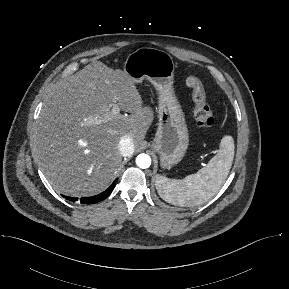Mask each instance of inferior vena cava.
<instances>
[{
  "label": "inferior vena cava",
  "mask_w": 289,
  "mask_h": 289,
  "mask_svg": "<svg viewBox=\"0 0 289 289\" xmlns=\"http://www.w3.org/2000/svg\"><path fill=\"white\" fill-rule=\"evenodd\" d=\"M119 151L123 157H127L133 154L134 144L133 140L129 136H124L119 141Z\"/></svg>",
  "instance_id": "obj_1"
}]
</instances>
